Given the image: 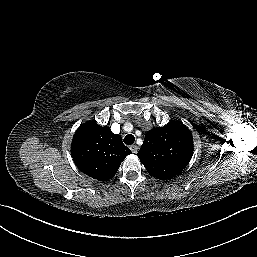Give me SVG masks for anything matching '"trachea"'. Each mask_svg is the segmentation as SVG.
Instances as JSON below:
<instances>
[{"instance_id": "3493384b", "label": "trachea", "mask_w": 257, "mask_h": 257, "mask_svg": "<svg viewBox=\"0 0 257 257\" xmlns=\"http://www.w3.org/2000/svg\"><path fill=\"white\" fill-rule=\"evenodd\" d=\"M135 141V137L132 134H128L127 136H125L124 138V143L126 145H131L133 144Z\"/></svg>"}]
</instances>
